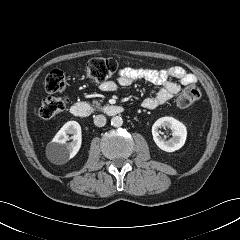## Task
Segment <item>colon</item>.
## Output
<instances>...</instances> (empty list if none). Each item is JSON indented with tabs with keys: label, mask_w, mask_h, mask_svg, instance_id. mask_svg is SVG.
Segmentation results:
<instances>
[{
	"label": "colon",
	"mask_w": 240,
	"mask_h": 240,
	"mask_svg": "<svg viewBox=\"0 0 240 240\" xmlns=\"http://www.w3.org/2000/svg\"><path fill=\"white\" fill-rule=\"evenodd\" d=\"M118 70V62L113 58H95L90 60L84 68L87 79L92 83H102L111 78ZM66 86V76L61 70L51 71L45 79V89L50 93L59 92ZM202 97L199 86H187L177 98L181 108H187L198 102ZM67 105L65 97H51L46 99L40 108L39 118L47 120L60 114Z\"/></svg>",
	"instance_id": "obj_1"
}]
</instances>
